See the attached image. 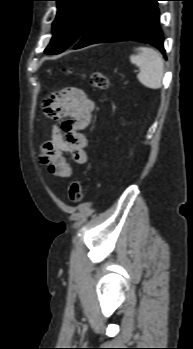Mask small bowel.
Returning <instances> with one entry per match:
<instances>
[{"label": "small bowel", "instance_id": "c3829d8e", "mask_svg": "<svg viewBox=\"0 0 193 349\" xmlns=\"http://www.w3.org/2000/svg\"><path fill=\"white\" fill-rule=\"evenodd\" d=\"M94 108L93 100L75 87L63 90L58 103L47 108V114L55 122L51 126L50 139L42 145L40 159L50 174L61 178L72 175L65 154L76 164L88 161V140L82 131L91 123Z\"/></svg>", "mask_w": 193, "mask_h": 349}]
</instances>
